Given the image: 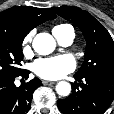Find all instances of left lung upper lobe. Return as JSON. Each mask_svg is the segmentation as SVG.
I'll list each match as a JSON object with an SVG mask.
<instances>
[{
    "label": "left lung upper lobe",
    "mask_w": 114,
    "mask_h": 114,
    "mask_svg": "<svg viewBox=\"0 0 114 114\" xmlns=\"http://www.w3.org/2000/svg\"><path fill=\"white\" fill-rule=\"evenodd\" d=\"M51 9L77 25L87 42L84 63L75 75L114 76V42L108 31L91 14L80 8L61 6Z\"/></svg>",
    "instance_id": "obj_1"
}]
</instances>
